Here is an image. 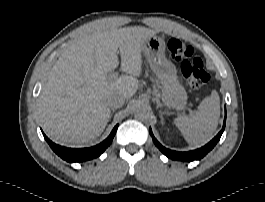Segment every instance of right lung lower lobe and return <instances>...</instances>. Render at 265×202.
Masks as SVG:
<instances>
[{
  "label": "right lung lower lobe",
  "mask_w": 265,
  "mask_h": 202,
  "mask_svg": "<svg viewBox=\"0 0 265 202\" xmlns=\"http://www.w3.org/2000/svg\"><path fill=\"white\" fill-rule=\"evenodd\" d=\"M117 127L118 124L113 128L111 134L103 142L90 148H80V149L66 148L53 143L45 136V134L43 135L46 141L48 142V144L50 145V147L53 149V151L62 159L71 163L83 162L96 158L105 151V149L112 143L113 137L115 136V133L117 131Z\"/></svg>",
  "instance_id": "98d812e1"
}]
</instances>
